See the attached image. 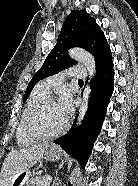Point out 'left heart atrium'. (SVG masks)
<instances>
[{"label":"left heart atrium","mask_w":138,"mask_h":186,"mask_svg":"<svg viewBox=\"0 0 138 186\" xmlns=\"http://www.w3.org/2000/svg\"><path fill=\"white\" fill-rule=\"evenodd\" d=\"M58 107L65 121H67L72 113V99L68 94L62 96L58 103Z\"/></svg>","instance_id":"obj_1"}]
</instances>
